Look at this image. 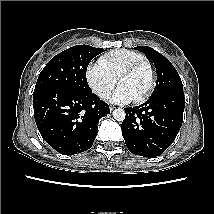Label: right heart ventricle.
Segmentation results:
<instances>
[{"label":"right heart ventricle","instance_id":"1","mask_svg":"<svg viewBox=\"0 0 214 214\" xmlns=\"http://www.w3.org/2000/svg\"><path fill=\"white\" fill-rule=\"evenodd\" d=\"M144 59L145 56L141 52L129 49H117L106 53L99 61L117 78L126 67Z\"/></svg>","mask_w":214,"mask_h":214}]
</instances>
